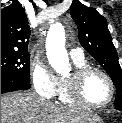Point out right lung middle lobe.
Listing matches in <instances>:
<instances>
[{
  "label": "right lung middle lobe",
  "mask_w": 122,
  "mask_h": 123,
  "mask_svg": "<svg viewBox=\"0 0 122 123\" xmlns=\"http://www.w3.org/2000/svg\"><path fill=\"white\" fill-rule=\"evenodd\" d=\"M1 75L30 82L29 53L1 51Z\"/></svg>",
  "instance_id": "dd1d6c3e"
}]
</instances>
